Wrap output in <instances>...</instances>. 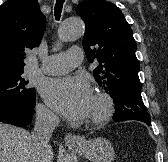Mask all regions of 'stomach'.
<instances>
[{"instance_id": "obj_1", "label": "stomach", "mask_w": 168, "mask_h": 162, "mask_svg": "<svg viewBox=\"0 0 168 162\" xmlns=\"http://www.w3.org/2000/svg\"><path fill=\"white\" fill-rule=\"evenodd\" d=\"M69 148L91 162H112L115 157L112 144L105 138L87 140L81 147L69 146Z\"/></svg>"}]
</instances>
